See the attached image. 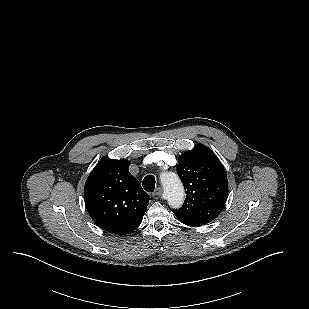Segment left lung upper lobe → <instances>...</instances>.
I'll list each match as a JSON object with an SVG mask.
<instances>
[{
    "label": "left lung upper lobe",
    "mask_w": 309,
    "mask_h": 309,
    "mask_svg": "<svg viewBox=\"0 0 309 309\" xmlns=\"http://www.w3.org/2000/svg\"><path fill=\"white\" fill-rule=\"evenodd\" d=\"M176 170L187 194L181 209L173 210L177 218L192 227L215 219L228 195L226 173L217 156L198 144L180 156Z\"/></svg>",
    "instance_id": "1"
}]
</instances>
